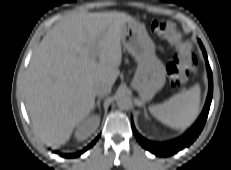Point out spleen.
<instances>
[{"label": "spleen", "instance_id": "3e777b00", "mask_svg": "<svg viewBox=\"0 0 231 170\" xmlns=\"http://www.w3.org/2000/svg\"><path fill=\"white\" fill-rule=\"evenodd\" d=\"M200 105V90L179 93L168 101L151 106L150 112L162 123L175 128L186 129L197 118Z\"/></svg>", "mask_w": 231, "mask_h": 170}]
</instances>
